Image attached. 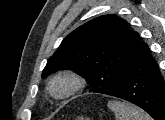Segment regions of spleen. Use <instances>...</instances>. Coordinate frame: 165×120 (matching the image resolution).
Masks as SVG:
<instances>
[{"label":"spleen","mask_w":165,"mask_h":120,"mask_svg":"<svg viewBox=\"0 0 165 120\" xmlns=\"http://www.w3.org/2000/svg\"><path fill=\"white\" fill-rule=\"evenodd\" d=\"M107 106L116 120H153L149 114L131 103L111 100Z\"/></svg>","instance_id":"3e777b00"}]
</instances>
